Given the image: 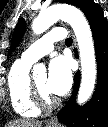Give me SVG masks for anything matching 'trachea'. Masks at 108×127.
<instances>
[{"label": "trachea", "instance_id": "1", "mask_svg": "<svg viewBox=\"0 0 108 127\" xmlns=\"http://www.w3.org/2000/svg\"><path fill=\"white\" fill-rule=\"evenodd\" d=\"M72 42H73L72 38H67L65 40V44H72Z\"/></svg>", "mask_w": 108, "mask_h": 127}]
</instances>
